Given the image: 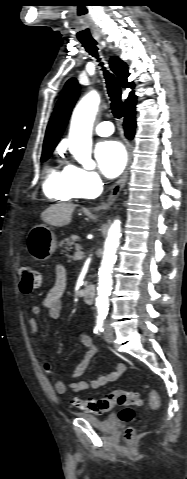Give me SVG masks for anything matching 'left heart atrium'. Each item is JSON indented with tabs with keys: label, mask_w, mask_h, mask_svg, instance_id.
<instances>
[{
	"label": "left heart atrium",
	"mask_w": 187,
	"mask_h": 479,
	"mask_svg": "<svg viewBox=\"0 0 187 479\" xmlns=\"http://www.w3.org/2000/svg\"><path fill=\"white\" fill-rule=\"evenodd\" d=\"M95 156L102 172L109 178L118 176L126 164V152L122 144L109 140L99 143Z\"/></svg>",
	"instance_id": "left-heart-atrium-1"
}]
</instances>
